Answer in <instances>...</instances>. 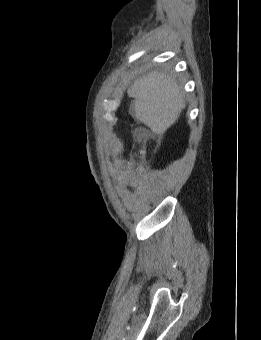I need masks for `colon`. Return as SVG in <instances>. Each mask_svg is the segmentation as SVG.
Segmentation results:
<instances>
[{"mask_svg": "<svg viewBox=\"0 0 261 340\" xmlns=\"http://www.w3.org/2000/svg\"><path fill=\"white\" fill-rule=\"evenodd\" d=\"M135 142L136 144L140 147L139 149V153L143 154L145 152V150L142 148L143 145V137L141 135H136L135 136Z\"/></svg>", "mask_w": 261, "mask_h": 340, "instance_id": "colon-1", "label": "colon"}]
</instances>
